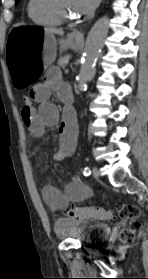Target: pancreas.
Here are the masks:
<instances>
[{"instance_id":"obj_1","label":"pancreas","mask_w":148,"mask_h":279,"mask_svg":"<svg viewBox=\"0 0 148 279\" xmlns=\"http://www.w3.org/2000/svg\"><path fill=\"white\" fill-rule=\"evenodd\" d=\"M69 59H70L69 56L60 57L58 60V65L64 67L67 64L66 62H68Z\"/></svg>"}]
</instances>
